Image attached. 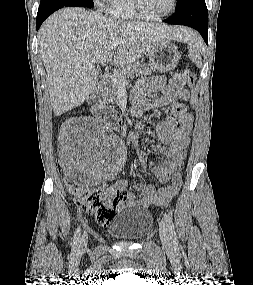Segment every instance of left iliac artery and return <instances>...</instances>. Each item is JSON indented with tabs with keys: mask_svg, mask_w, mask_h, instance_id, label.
I'll use <instances>...</instances> for the list:
<instances>
[{
	"mask_svg": "<svg viewBox=\"0 0 253 285\" xmlns=\"http://www.w3.org/2000/svg\"><path fill=\"white\" fill-rule=\"evenodd\" d=\"M164 218H165L167 227L169 229V233H170V236H171L172 243H173V245L175 247H177L178 246V240H177V235H176V232H175L174 224H173V221H172V217H171V215L169 213H165L164 214Z\"/></svg>",
	"mask_w": 253,
	"mask_h": 285,
	"instance_id": "1",
	"label": "left iliac artery"
}]
</instances>
